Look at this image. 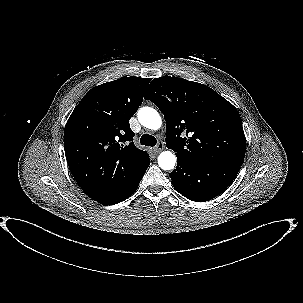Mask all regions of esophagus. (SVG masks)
<instances>
[{
    "instance_id": "esophagus-1",
    "label": "esophagus",
    "mask_w": 303,
    "mask_h": 303,
    "mask_svg": "<svg viewBox=\"0 0 303 303\" xmlns=\"http://www.w3.org/2000/svg\"><path fill=\"white\" fill-rule=\"evenodd\" d=\"M164 149V145L162 142H158V144L154 147L153 151L155 153H159L160 151H162Z\"/></svg>"
}]
</instances>
